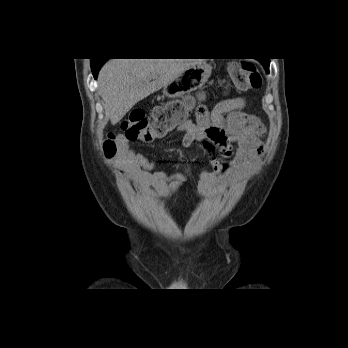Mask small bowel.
I'll list each match as a JSON object with an SVG mask.
<instances>
[{"label":"small bowel","instance_id":"1","mask_svg":"<svg viewBox=\"0 0 348 348\" xmlns=\"http://www.w3.org/2000/svg\"><path fill=\"white\" fill-rule=\"evenodd\" d=\"M225 96L211 111L200 106L195 121L188 120L177 128L183 146L199 144L209 155L211 166L200 173L197 186L201 196L221 194L243 180L263 150V124L243 111L244 98ZM118 142L119 153L112 163L118 174L134 182L139 191L148 193L153 187L163 196L173 197L181 189L185 173L155 171V162L130 147L124 136Z\"/></svg>","mask_w":348,"mask_h":348}]
</instances>
